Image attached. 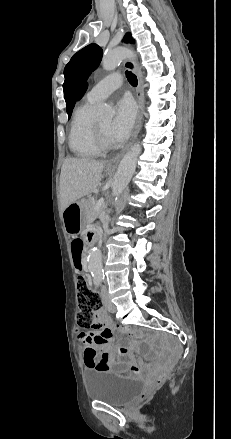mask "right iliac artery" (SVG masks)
Returning a JSON list of instances; mask_svg holds the SVG:
<instances>
[{
	"label": "right iliac artery",
	"instance_id": "obj_1",
	"mask_svg": "<svg viewBox=\"0 0 231 439\" xmlns=\"http://www.w3.org/2000/svg\"><path fill=\"white\" fill-rule=\"evenodd\" d=\"M101 281H102L101 279H95L94 283H95V285L99 286Z\"/></svg>",
	"mask_w": 231,
	"mask_h": 439
}]
</instances>
